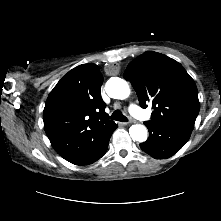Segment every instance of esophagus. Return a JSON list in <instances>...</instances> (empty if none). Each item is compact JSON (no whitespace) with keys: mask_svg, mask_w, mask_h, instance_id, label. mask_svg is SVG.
I'll return each instance as SVG.
<instances>
[{"mask_svg":"<svg viewBox=\"0 0 221 221\" xmlns=\"http://www.w3.org/2000/svg\"><path fill=\"white\" fill-rule=\"evenodd\" d=\"M130 123H132V122H131V121H128V122H123L122 124L128 125V124H130Z\"/></svg>","mask_w":221,"mask_h":221,"instance_id":"1","label":"esophagus"}]
</instances>
